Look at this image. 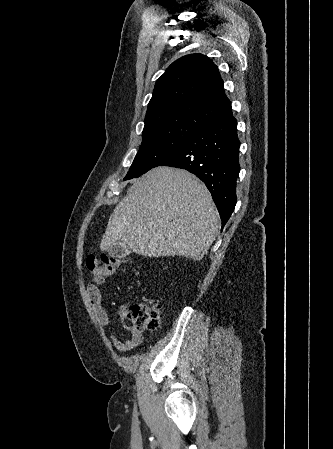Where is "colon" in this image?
I'll return each instance as SVG.
<instances>
[{
    "label": "colon",
    "mask_w": 333,
    "mask_h": 449,
    "mask_svg": "<svg viewBox=\"0 0 333 449\" xmlns=\"http://www.w3.org/2000/svg\"><path fill=\"white\" fill-rule=\"evenodd\" d=\"M124 260L125 258L108 254H89L86 257V266L94 274L110 275L120 267ZM125 316L131 326L139 331L155 330L160 322L161 307L158 304L132 302L126 306Z\"/></svg>",
    "instance_id": "1"
}]
</instances>
